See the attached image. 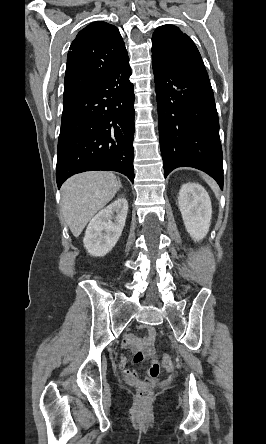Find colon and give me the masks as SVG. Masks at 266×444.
Instances as JSON below:
<instances>
[{"instance_id": "5ec220e1", "label": "colon", "mask_w": 266, "mask_h": 444, "mask_svg": "<svg viewBox=\"0 0 266 444\" xmlns=\"http://www.w3.org/2000/svg\"><path fill=\"white\" fill-rule=\"evenodd\" d=\"M163 365L167 370H171L173 368V363L171 358L168 355H164L162 357ZM152 396V390L149 387H141L137 392V397L140 402L148 401Z\"/></svg>"}]
</instances>
